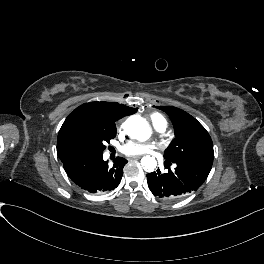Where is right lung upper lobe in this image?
Listing matches in <instances>:
<instances>
[{
  "label": "right lung upper lobe",
  "mask_w": 264,
  "mask_h": 264,
  "mask_svg": "<svg viewBox=\"0 0 264 264\" xmlns=\"http://www.w3.org/2000/svg\"><path fill=\"white\" fill-rule=\"evenodd\" d=\"M137 110L108 103L85 111L79 107L68 116L59 131L57 153L75 184L89 181L119 163L104 161L103 153L116 136V122Z\"/></svg>",
  "instance_id": "cb5924a9"
}]
</instances>
